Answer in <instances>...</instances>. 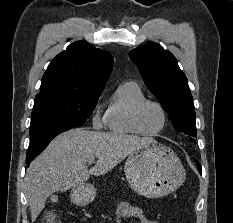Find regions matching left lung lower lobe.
Segmentation results:
<instances>
[{"label": "left lung lower lobe", "instance_id": "obj_1", "mask_svg": "<svg viewBox=\"0 0 233 223\" xmlns=\"http://www.w3.org/2000/svg\"><path fill=\"white\" fill-rule=\"evenodd\" d=\"M195 162H196V164H197V168H198L199 173L202 174L200 163H199L198 161H196V160H195Z\"/></svg>", "mask_w": 233, "mask_h": 223}]
</instances>
